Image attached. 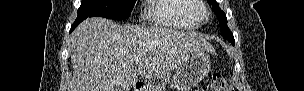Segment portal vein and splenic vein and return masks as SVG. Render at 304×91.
<instances>
[{
    "label": "portal vein and splenic vein",
    "instance_id": "1",
    "mask_svg": "<svg viewBox=\"0 0 304 91\" xmlns=\"http://www.w3.org/2000/svg\"><path fill=\"white\" fill-rule=\"evenodd\" d=\"M140 60H141V58L138 57V56L134 58V61H135L136 63H138Z\"/></svg>",
    "mask_w": 304,
    "mask_h": 91
}]
</instances>
